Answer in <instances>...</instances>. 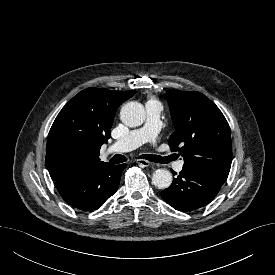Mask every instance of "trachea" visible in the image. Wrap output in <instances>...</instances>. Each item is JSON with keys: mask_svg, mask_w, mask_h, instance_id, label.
Returning <instances> with one entry per match:
<instances>
[{"mask_svg": "<svg viewBox=\"0 0 275 275\" xmlns=\"http://www.w3.org/2000/svg\"><path fill=\"white\" fill-rule=\"evenodd\" d=\"M139 158L146 159V160H149L151 162L163 163V164H166V163H168L172 160L171 157H161V156L152 155V154H147V155L143 154ZM125 161H127V158L123 155H120V154L114 155L110 160V162L112 164H119V163H122V162H125Z\"/></svg>", "mask_w": 275, "mask_h": 275, "instance_id": "3493384b", "label": "trachea"}]
</instances>
